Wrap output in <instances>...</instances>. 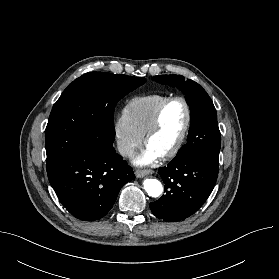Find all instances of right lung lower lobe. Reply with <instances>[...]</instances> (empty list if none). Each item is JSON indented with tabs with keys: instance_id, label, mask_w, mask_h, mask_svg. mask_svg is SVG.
I'll return each mask as SVG.
<instances>
[{
	"instance_id": "98d812e1",
	"label": "right lung lower lobe",
	"mask_w": 279,
	"mask_h": 279,
	"mask_svg": "<svg viewBox=\"0 0 279 279\" xmlns=\"http://www.w3.org/2000/svg\"><path fill=\"white\" fill-rule=\"evenodd\" d=\"M135 175L112 146L81 148L49 177L62 205L76 218L95 221L112 208L117 195Z\"/></svg>"
}]
</instances>
